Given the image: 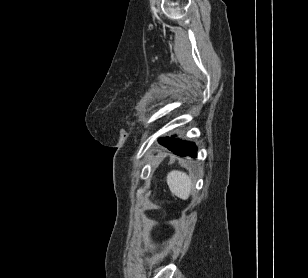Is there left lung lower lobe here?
<instances>
[{
  "instance_id": "obj_1",
  "label": "left lung lower lobe",
  "mask_w": 308,
  "mask_h": 278,
  "mask_svg": "<svg viewBox=\"0 0 308 278\" xmlns=\"http://www.w3.org/2000/svg\"><path fill=\"white\" fill-rule=\"evenodd\" d=\"M159 143L179 156L196 157L197 147L193 143L169 137L159 139Z\"/></svg>"
}]
</instances>
